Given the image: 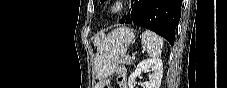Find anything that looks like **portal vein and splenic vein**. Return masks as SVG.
Returning <instances> with one entry per match:
<instances>
[{
    "label": "portal vein and splenic vein",
    "instance_id": "obj_1",
    "mask_svg": "<svg viewBox=\"0 0 227 88\" xmlns=\"http://www.w3.org/2000/svg\"><path fill=\"white\" fill-rule=\"evenodd\" d=\"M131 57L134 59L135 58V54H132Z\"/></svg>",
    "mask_w": 227,
    "mask_h": 88
}]
</instances>
